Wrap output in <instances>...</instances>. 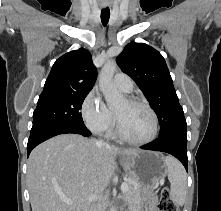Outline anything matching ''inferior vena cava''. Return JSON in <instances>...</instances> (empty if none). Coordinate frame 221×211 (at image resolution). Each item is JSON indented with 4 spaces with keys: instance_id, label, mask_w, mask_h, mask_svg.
<instances>
[{
    "instance_id": "inferior-vena-cava-1",
    "label": "inferior vena cava",
    "mask_w": 221,
    "mask_h": 211,
    "mask_svg": "<svg viewBox=\"0 0 221 211\" xmlns=\"http://www.w3.org/2000/svg\"><path fill=\"white\" fill-rule=\"evenodd\" d=\"M102 142V141H101ZM90 211H102V206L100 204H94Z\"/></svg>"
}]
</instances>
